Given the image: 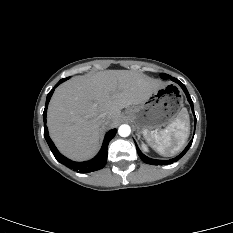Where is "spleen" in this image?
I'll list each match as a JSON object with an SVG mask.
<instances>
[{
  "mask_svg": "<svg viewBox=\"0 0 233 233\" xmlns=\"http://www.w3.org/2000/svg\"><path fill=\"white\" fill-rule=\"evenodd\" d=\"M189 115L185 108L165 128L150 133L144 132L148 144L160 155L172 156L180 151L189 137Z\"/></svg>",
  "mask_w": 233,
  "mask_h": 233,
  "instance_id": "1",
  "label": "spleen"
}]
</instances>
